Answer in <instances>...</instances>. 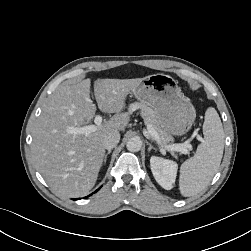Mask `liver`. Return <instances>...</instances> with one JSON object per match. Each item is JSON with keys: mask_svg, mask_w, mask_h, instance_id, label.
Returning a JSON list of instances; mask_svg holds the SVG:
<instances>
[{"mask_svg": "<svg viewBox=\"0 0 251 251\" xmlns=\"http://www.w3.org/2000/svg\"><path fill=\"white\" fill-rule=\"evenodd\" d=\"M141 80L94 82L98 108L115 114L88 135L71 134L68 129L86 125L95 116L90 79L59 86L45 102L33 127L31 151L36 167L54 191L79 197L94 187L105 156L104 138L125 130L130 121L129 115L122 112L125 100Z\"/></svg>", "mask_w": 251, "mask_h": 251, "instance_id": "obj_1", "label": "liver"}]
</instances>
